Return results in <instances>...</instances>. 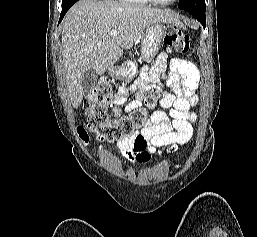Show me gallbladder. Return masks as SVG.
I'll list each match as a JSON object with an SVG mask.
<instances>
[{"label": "gallbladder", "instance_id": "bac80fb5", "mask_svg": "<svg viewBox=\"0 0 257 237\" xmlns=\"http://www.w3.org/2000/svg\"><path fill=\"white\" fill-rule=\"evenodd\" d=\"M98 80V73L94 69L87 70L81 79V85L85 95H89Z\"/></svg>", "mask_w": 257, "mask_h": 237}]
</instances>
